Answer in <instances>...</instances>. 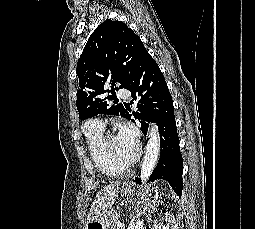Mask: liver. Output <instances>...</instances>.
Returning a JSON list of instances; mask_svg holds the SVG:
<instances>
[{
	"instance_id": "1",
	"label": "liver",
	"mask_w": 255,
	"mask_h": 229,
	"mask_svg": "<svg viewBox=\"0 0 255 229\" xmlns=\"http://www.w3.org/2000/svg\"><path fill=\"white\" fill-rule=\"evenodd\" d=\"M120 182L111 183L103 187L96 195L94 202L87 216V222L98 218L114 204L118 197Z\"/></svg>"
}]
</instances>
